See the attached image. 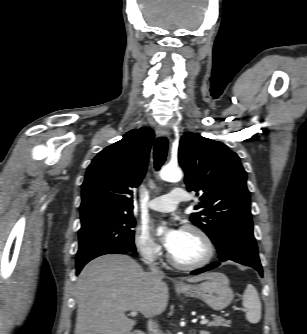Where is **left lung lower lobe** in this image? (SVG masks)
<instances>
[{
	"label": "left lung lower lobe",
	"instance_id": "0a47b994",
	"mask_svg": "<svg viewBox=\"0 0 307 334\" xmlns=\"http://www.w3.org/2000/svg\"><path fill=\"white\" fill-rule=\"evenodd\" d=\"M220 261H234L246 266L254 267L263 275L262 266L258 257L257 244L253 232L233 231L226 235L225 241L217 249ZM220 265V262H212L208 266L191 272L197 275L209 271Z\"/></svg>",
	"mask_w": 307,
	"mask_h": 334
}]
</instances>
